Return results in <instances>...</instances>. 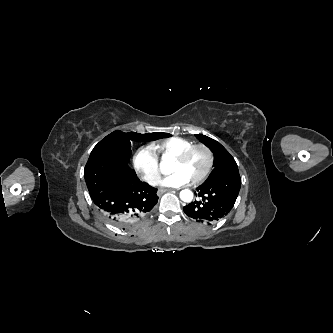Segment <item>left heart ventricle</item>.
<instances>
[{"mask_svg": "<svg viewBox=\"0 0 333 333\" xmlns=\"http://www.w3.org/2000/svg\"><path fill=\"white\" fill-rule=\"evenodd\" d=\"M207 163L208 157L206 152L197 149L193 151L183 163L173 161L171 172H182L192 181L204 172Z\"/></svg>", "mask_w": 333, "mask_h": 333, "instance_id": "1", "label": "left heart ventricle"}]
</instances>
